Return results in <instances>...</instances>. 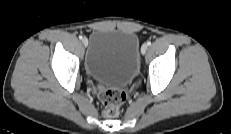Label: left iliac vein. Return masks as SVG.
Masks as SVG:
<instances>
[{
  "mask_svg": "<svg viewBox=\"0 0 231 134\" xmlns=\"http://www.w3.org/2000/svg\"><path fill=\"white\" fill-rule=\"evenodd\" d=\"M147 49H148V45H147L146 43L143 44L142 47H141V53H142V54H145L146 51H147Z\"/></svg>",
  "mask_w": 231,
  "mask_h": 134,
  "instance_id": "1",
  "label": "left iliac vein"
}]
</instances>
